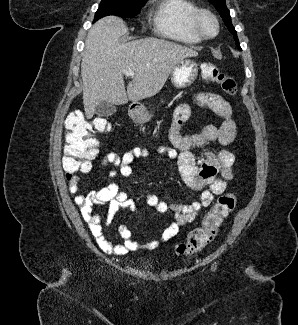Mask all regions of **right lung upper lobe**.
Instances as JSON below:
<instances>
[{
  "mask_svg": "<svg viewBox=\"0 0 298 325\" xmlns=\"http://www.w3.org/2000/svg\"><path fill=\"white\" fill-rule=\"evenodd\" d=\"M135 1H138V2H146L147 0H135Z\"/></svg>",
  "mask_w": 298,
  "mask_h": 325,
  "instance_id": "1",
  "label": "right lung upper lobe"
}]
</instances>
